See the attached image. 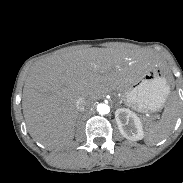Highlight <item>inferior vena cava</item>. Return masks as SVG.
<instances>
[{"instance_id": "1", "label": "inferior vena cava", "mask_w": 183, "mask_h": 183, "mask_svg": "<svg viewBox=\"0 0 183 183\" xmlns=\"http://www.w3.org/2000/svg\"><path fill=\"white\" fill-rule=\"evenodd\" d=\"M87 105V101L83 97H80L76 102V108L78 111H84Z\"/></svg>"}]
</instances>
